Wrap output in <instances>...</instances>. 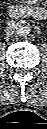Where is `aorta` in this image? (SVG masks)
Wrapping results in <instances>:
<instances>
[{"instance_id":"762f6f07","label":"aorta","mask_w":47,"mask_h":129,"mask_svg":"<svg viewBox=\"0 0 47 129\" xmlns=\"http://www.w3.org/2000/svg\"><path fill=\"white\" fill-rule=\"evenodd\" d=\"M31 24L26 20H20L16 24V32L19 35H28L31 31Z\"/></svg>"}]
</instances>
